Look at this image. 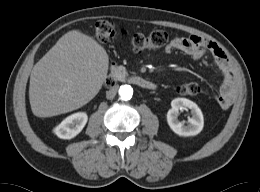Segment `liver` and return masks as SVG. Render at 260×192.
<instances>
[{
	"label": "liver",
	"instance_id": "6515ba94",
	"mask_svg": "<svg viewBox=\"0 0 260 192\" xmlns=\"http://www.w3.org/2000/svg\"><path fill=\"white\" fill-rule=\"evenodd\" d=\"M109 57L92 37L79 30L64 34L34 65L29 101L37 117H51L82 107L100 91Z\"/></svg>",
	"mask_w": 260,
	"mask_h": 192
}]
</instances>
